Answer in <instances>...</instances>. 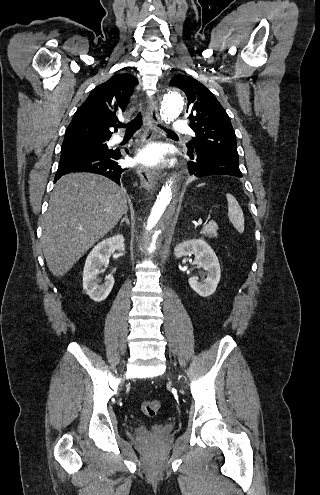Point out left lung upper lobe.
Returning <instances> with one entry per match:
<instances>
[{
  "label": "left lung upper lobe",
  "mask_w": 320,
  "mask_h": 495,
  "mask_svg": "<svg viewBox=\"0 0 320 495\" xmlns=\"http://www.w3.org/2000/svg\"><path fill=\"white\" fill-rule=\"evenodd\" d=\"M170 85L180 88L188 99L189 126L196 134L186 144L188 152L199 149L226 162L239 164L234 129L216 97L191 76L177 75Z\"/></svg>",
  "instance_id": "1"
}]
</instances>
